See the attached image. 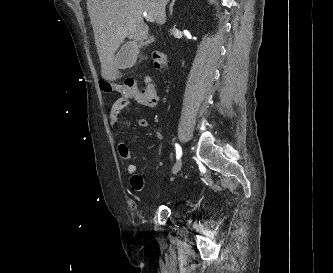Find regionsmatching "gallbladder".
I'll return each mask as SVG.
<instances>
[{
	"label": "gallbladder",
	"mask_w": 333,
	"mask_h": 273,
	"mask_svg": "<svg viewBox=\"0 0 333 273\" xmlns=\"http://www.w3.org/2000/svg\"><path fill=\"white\" fill-rule=\"evenodd\" d=\"M139 54V45L135 42H127L117 53L119 68L128 69L134 66Z\"/></svg>",
	"instance_id": "1"
}]
</instances>
